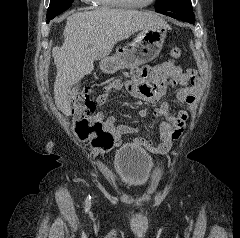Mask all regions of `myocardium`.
I'll return each mask as SVG.
<instances>
[{"instance_id":"f54148a6","label":"myocardium","mask_w":240,"mask_h":238,"mask_svg":"<svg viewBox=\"0 0 240 238\" xmlns=\"http://www.w3.org/2000/svg\"><path fill=\"white\" fill-rule=\"evenodd\" d=\"M118 3L126 8H139V7H146L154 3L155 0H149L148 2L145 3H140V2H134V1H129V0H117Z\"/></svg>"}]
</instances>
